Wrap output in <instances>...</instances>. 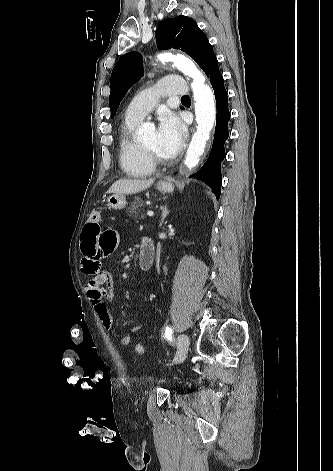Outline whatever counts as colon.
Returning <instances> with one entry per match:
<instances>
[{
	"mask_svg": "<svg viewBox=\"0 0 333 471\" xmlns=\"http://www.w3.org/2000/svg\"><path fill=\"white\" fill-rule=\"evenodd\" d=\"M89 221L91 223H98L100 221V213L98 211H92L89 216ZM134 348L138 354L144 353V346L141 343L135 344Z\"/></svg>",
	"mask_w": 333,
	"mask_h": 471,
	"instance_id": "colon-1",
	"label": "colon"
}]
</instances>
